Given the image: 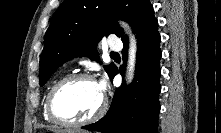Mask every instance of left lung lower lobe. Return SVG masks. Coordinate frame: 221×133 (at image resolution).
<instances>
[{
	"label": "left lung lower lobe",
	"instance_id": "left-lung-lower-lobe-1",
	"mask_svg": "<svg viewBox=\"0 0 221 133\" xmlns=\"http://www.w3.org/2000/svg\"><path fill=\"white\" fill-rule=\"evenodd\" d=\"M136 78L130 87L123 86L115 91L107 114L96 123L83 126V129L104 133H157L160 112L159 93L160 34L157 19L137 35ZM123 59L127 58L128 41H124ZM124 67L119 72L123 75ZM118 74L115 66L110 79Z\"/></svg>",
	"mask_w": 221,
	"mask_h": 133
}]
</instances>
